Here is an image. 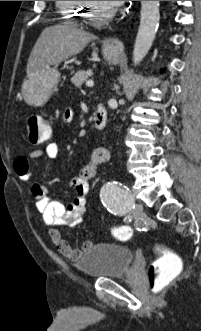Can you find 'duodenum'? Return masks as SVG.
Here are the masks:
<instances>
[{"mask_svg": "<svg viewBox=\"0 0 201 331\" xmlns=\"http://www.w3.org/2000/svg\"><path fill=\"white\" fill-rule=\"evenodd\" d=\"M107 123V113L104 108L99 107L94 112L93 125L96 129H103Z\"/></svg>", "mask_w": 201, "mask_h": 331, "instance_id": "duodenum-1", "label": "duodenum"}]
</instances>
